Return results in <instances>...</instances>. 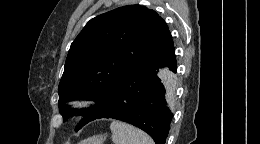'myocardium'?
<instances>
[{
    "mask_svg": "<svg viewBox=\"0 0 260 144\" xmlns=\"http://www.w3.org/2000/svg\"><path fill=\"white\" fill-rule=\"evenodd\" d=\"M87 103L82 100H74L70 102V108L74 114V116H79V114L85 109Z\"/></svg>",
    "mask_w": 260,
    "mask_h": 144,
    "instance_id": "f54148a6",
    "label": "myocardium"
}]
</instances>
